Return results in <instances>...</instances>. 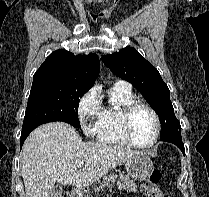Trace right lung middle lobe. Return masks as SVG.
Returning a JSON list of instances; mask_svg holds the SVG:
<instances>
[{
    "mask_svg": "<svg viewBox=\"0 0 209 197\" xmlns=\"http://www.w3.org/2000/svg\"><path fill=\"white\" fill-rule=\"evenodd\" d=\"M89 89L74 83L33 82L22 130L52 121L79 128V98Z\"/></svg>",
    "mask_w": 209,
    "mask_h": 197,
    "instance_id": "obj_1",
    "label": "right lung middle lobe"
}]
</instances>
